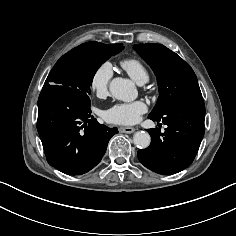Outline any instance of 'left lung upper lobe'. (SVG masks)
<instances>
[{
    "instance_id": "1",
    "label": "left lung upper lobe",
    "mask_w": 236,
    "mask_h": 236,
    "mask_svg": "<svg viewBox=\"0 0 236 236\" xmlns=\"http://www.w3.org/2000/svg\"><path fill=\"white\" fill-rule=\"evenodd\" d=\"M134 49L151 66L157 78L159 97L149 116L161 117L179 99L201 95L194 71L176 53L161 44H136Z\"/></svg>"
}]
</instances>
